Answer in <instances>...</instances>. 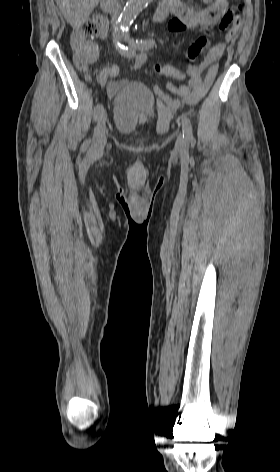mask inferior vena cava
Instances as JSON below:
<instances>
[{
    "mask_svg": "<svg viewBox=\"0 0 280 472\" xmlns=\"http://www.w3.org/2000/svg\"><path fill=\"white\" fill-rule=\"evenodd\" d=\"M121 10V5L119 4V2H116L115 5H114V9H113V16H112V23L113 24H117V15L119 14V11Z\"/></svg>",
    "mask_w": 280,
    "mask_h": 472,
    "instance_id": "602c4592",
    "label": "inferior vena cava"
}]
</instances>
